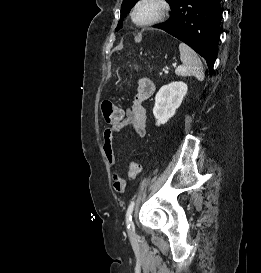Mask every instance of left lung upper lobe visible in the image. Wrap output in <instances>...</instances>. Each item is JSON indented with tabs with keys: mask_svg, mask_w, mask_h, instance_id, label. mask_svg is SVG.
<instances>
[{
	"mask_svg": "<svg viewBox=\"0 0 261 273\" xmlns=\"http://www.w3.org/2000/svg\"><path fill=\"white\" fill-rule=\"evenodd\" d=\"M138 0H123L122 6H121V18H124L125 15L130 11L131 7L134 6V4ZM171 6L174 4L176 0H166ZM122 26V20L118 23V26L116 28V31H118Z\"/></svg>",
	"mask_w": 261,
	"mask_h": 273,
	"instance_id": "1",
	"label": "left lung upper lobe"
}]
</instances>
